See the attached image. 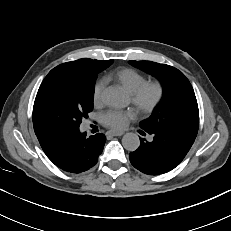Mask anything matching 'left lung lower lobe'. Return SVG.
Here are the masks:
<instances>
[{"label": "left lung lower lobe", "mask_w": 231, "mask_h": 231, "mask_svg": "<svg viewBox=\"0 0 231 231\" xmlns=\"http://www.w3.org/2000/svg\"><path fill=\"white\" fill-rule=\"evenodd\" d=\"M153 139L140 138V147L129 155L131 164L147 175H158L174 169L186 156L195 138L162 131H140Z\"/></svg>", "instance_id": "obj_1"}]
</instances>
